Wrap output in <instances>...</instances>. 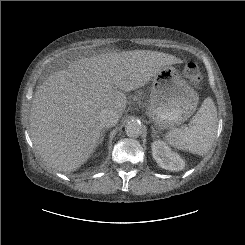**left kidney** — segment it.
Here are the masks:
<instances>
[{
    "label": "left kidney",
    "instance_id": "1",
    "mask_svg": "<svg viewBox=\"0 0 245 245\" xmlns=\"http://www.w3.org/2000/svg\"><path fill=\"white\" fill-rule=\"evenodd\" d=\"M152 155L157 164L166 170L180 171L185 166V161L166 145L163 141L152 143Z\"/></svg>",
    "mask_w": 245,
    "mask_h": 245
}]
</instances>
